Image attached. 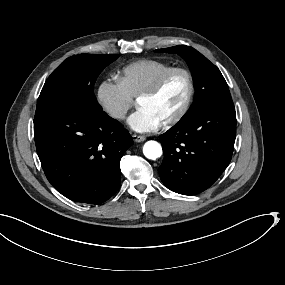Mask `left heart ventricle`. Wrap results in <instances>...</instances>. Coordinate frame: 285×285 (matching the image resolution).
I'll return each mask as SVG.
<instances>
[{"label": "left heart ventricle", "mask_w": 285, "mask_h": 285, "mask_svg": "<svg viewBox=\"0 0 285 285\" xmlns=\"http://www.w3.org/2000/svg\"><path fill=\"white\" fill-rule=\"evenodd\" d=\"M185 90L184 78L177 75L158 94L141 104H144L161 121L180 107Z\"/></svg>", "instance_id": "left-heart-ventricle-1"}]
</instances>
